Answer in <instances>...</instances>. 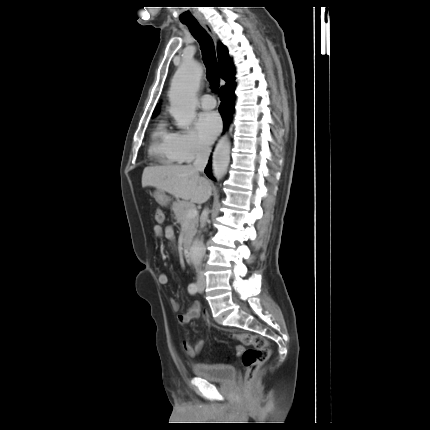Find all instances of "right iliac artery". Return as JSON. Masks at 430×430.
<instances>
[{
    "label": "right iliac artery",
    "instance_id": "1",
    "mask_svg": "<svg viewBox=\"0 0 430 430\" xmlns=\"http://www.w3.org/2000/svg\"><path fill=\"white\" fill-rule=\"evenodd\" d=\"M198 291V285L196 283H191L188 286V292L190 294H195Z\"/></svg>",
    "mask_w": 430,
    "mask_h": 430
}]
</instances>
